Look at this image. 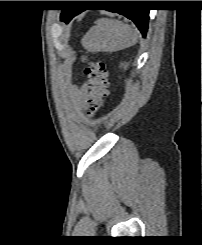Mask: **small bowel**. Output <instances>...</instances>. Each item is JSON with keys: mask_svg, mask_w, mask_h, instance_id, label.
Here are the masks:
<instances>
[{"mask_svg": "<svg viewBox=\"0 0 202 245\" xmlns=\"http://www.w3.org/2000/svg\"><path fill=\"white\" fill-rule=\"evenodd\" d=\"M75 90L78 91L80 95H82L85 90V86L81 87L80 89L75 88Z\"/></svg>", "mask_w": 202, "mask_h": 245, "instance_id": "small-bowel-1", "label": "small bowel"}]
</instances>
